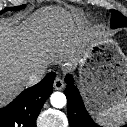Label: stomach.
Wrapping results in <instances>:
<instances>
[{
  "instance_id": "obj_1",
  "label": "stomach",
  "mask_w": 127,
  "mask_h": 127,
  "mask_svg": "<svg viewBox=\"0 0 127 127\" xmlns=\"http://www.w3.org/2000/svg\"><path fill=\"white\" fill-rule=\"evenodd\" d=\"M79 64V86L96 110L120 102L127 94V57L90 35L83 45Z\"/></svg>"
}]
</instances>
